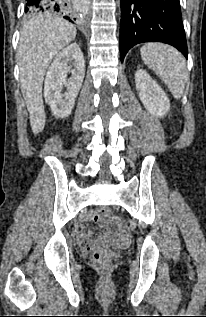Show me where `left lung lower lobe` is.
Listing matches in <instances>:
<instances>
[{
  "instance_id": "left-lung-lower-lobe-1",
  "label": "left lung lower lobe",
  "mask_w": 206,
  "mask_h": 317,
  "mask_svg": "<svg viewBox=\"0 0 206 317\" xmlns=\"http://www.w3.org/2000/svg\"><path fill=\"white\" fill-rule=\"evenodd\" d=\"M120 57L134 45L164 42L187 58V42L179 0H120Z\"/></svg>"
}]
</instances>
